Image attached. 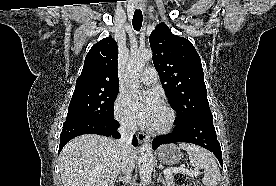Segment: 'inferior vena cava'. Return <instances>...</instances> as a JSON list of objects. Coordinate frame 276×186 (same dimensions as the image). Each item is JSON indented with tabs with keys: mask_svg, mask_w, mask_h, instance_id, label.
<instances>
[{
	"mask_svg": "<svg viewBox=\"0 0 276 186\" xmlns=\"http://www.w3.org/2000/svg\"><path fill=\"white\" fill-rule=\"evenodd\" d=\"M136 129V123L133 121H123L119 127L121 138L117 143L121 150V170L125 176L129 177L134 168V158L131 156V151L133 150L131 143Z\"/></svg>",
	"mask_w": 276,
	"mask_h": 186,
	"instance_id": "1",
	"label": "inferior vena cava"
}]
</instances>
